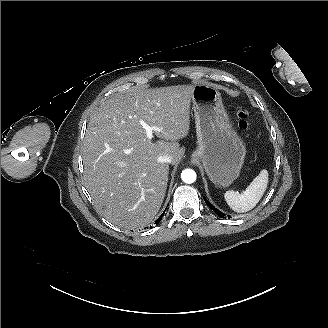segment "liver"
<instances>
[{
	"instance_id": "liver-1",
	"label": "liver",
	"mask_w": 328,
	"mask_h": 328,
	"mask_svg": "<svg viewBox=\"0 0 328 328\" xmlns=\"http://www.w3.org/2000/svg\"><path fill=\"white\" fill-rule=\"evenodd\" d=\"M191 85L134 88L107 99L94 111L83 144L84 182L96 209L126 230L149 224L165 197L169 165L179 161L190 129ZM161 128L152 142L139 123Z\"/></svg>"
}]
</instances>
